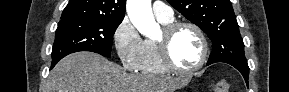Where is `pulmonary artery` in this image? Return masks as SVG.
<instances>
[{"label":"pulmonary artery","mask_w":289,"mask_h":92,"mask_svg":"<svg viewBox=\"0 0 289 92\" xmlns=\"http://www.w3.org/2000/svg\"><path fill=\"white\" fill-rule=\"evenodd\" d=\"M152 8L157 19L169 20L173 18V10L171 7L161 1H155Z\"/></svg>","instance_id":"obj_1"}]
</instances>
